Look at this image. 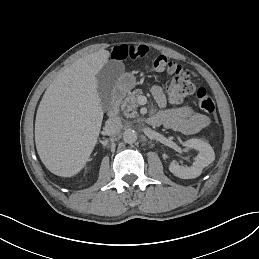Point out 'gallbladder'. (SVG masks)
<instances>
[{
  "label": "gallbladder",
  "instance_id": "obj_1",
  "mask_svg": "<svg viewBox=\"0 0 259 259\" xmlns=\"http://www.w3.org/2000/svg\"><path fill=\"white\" fill-rule=\"evenodd\" d=\"M124 73V64L121 61L110 60L96 75L97 92L101 100L103 111H108L112 107L113 90L118 79Z\"/></svg>",
  "mask_w": 259,
  "mask_h": 259
}]
</instances>
